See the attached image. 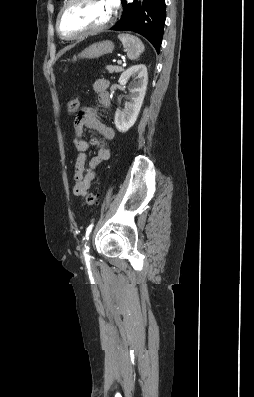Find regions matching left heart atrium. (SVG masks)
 Here are the masks:
<instances>
[{"label":"left heart atrium","instance_id":"39dd6f15","mask_svg":"<svg viewBox=\"0 0 254 397\" xmlns=\"http://www.w3.org/2000/svg\"><path fill=\"white\" fill-rule=\"evenodd\" d=\"M109 4L111 7H113L116 4V0H109Z\"/></svg>","mask_w":254,"mask_h":397}]
</instances>
